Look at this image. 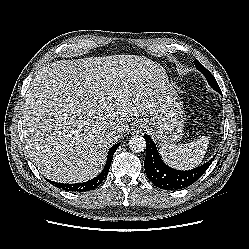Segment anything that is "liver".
Returning <instances> with one entry per match:
<instances>
[{"instance_id": "obj_1", "label": "liver", "mask_w": 249, "mask_h": 249, "mask_svg": "<svg viewBox=\"0 0 249 249\" xmlns=\"http://www.w3.org/2000/svg\"><path fill=\"white\" fill-rule=\"evenodd\" d=\"M167 82L159 63L139 55L48 64L36 73L22 105L30 159L56 182L94 178L111 144L129 130L128 122L157 113ZM115 129L120 130L112 137Z\"/></svg>"}]
</instances>
